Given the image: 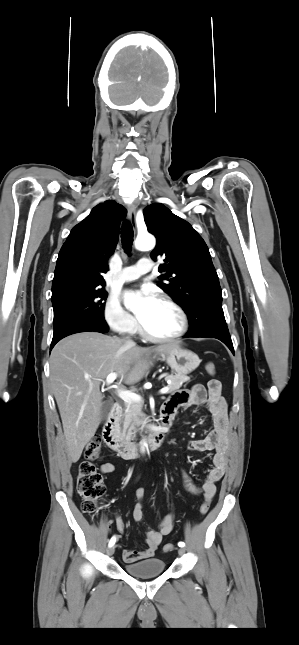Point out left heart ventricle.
Listing matches in <instances>:
<instances>
[{"label":"left heart ventricle","instance_id":"obj_1","mask_svg":"<svg viewBox=\"0 0 299 645\" xmlns=\"http://www.w3.org/2000/svg\"><path fill=\"white\" fill-rule=\"evenodd\" d=\"M138 316L145 329L155 336L172 335L180 326L179 316L176 311L159 300L145 314H142V308L140 306Z\"/></svg>","mask_w":299,"mask_h":645}]
</instances>
